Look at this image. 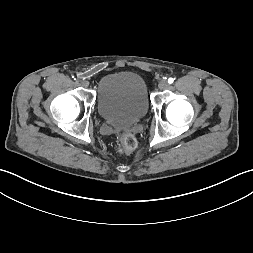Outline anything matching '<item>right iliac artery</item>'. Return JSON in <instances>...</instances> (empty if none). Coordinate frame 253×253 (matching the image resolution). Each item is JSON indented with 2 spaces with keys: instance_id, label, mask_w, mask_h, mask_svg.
Returning <instances> with one entry per match:
<instances>
[{
  "instance_id": "obj_1",
  "label": "right iliac artery",
  "mask_w": 253,
  "mask_h": 253,
  "mask_svg": "<svg viewBox=\"0 0 253 253\" xmlns=\"http://www.w3.org/2000/svg\"><path fill=\"white\" fill-rule=\"evenodd\" d=\"M74 80H76V82H79V81H80V79H79V78H77V79L75 78Z\"/></svg>"
}]
</instances>
